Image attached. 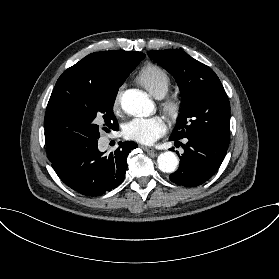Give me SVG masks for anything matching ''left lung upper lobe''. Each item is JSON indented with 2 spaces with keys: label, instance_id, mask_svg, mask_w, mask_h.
I'll return each instance as SVG.
<instances>
[{
  "label": "left lung upper lobe",
  "instance_id": "5c2ea615",
  "mask_svg": "<svg viewBox=\"0 0 279 279\" xmlns=\"http://www.w3.org/2000/svg\"><path fill=\"white\" fill-rule=\"evenodd\" d=\"M148 55L174 76L183 96L172 136L214 134L230 139V103L215 72L179 49L152 50Z\"/></svg>",
  "mask_w": 279,
  "mask_h": 279
}]
</instances>
